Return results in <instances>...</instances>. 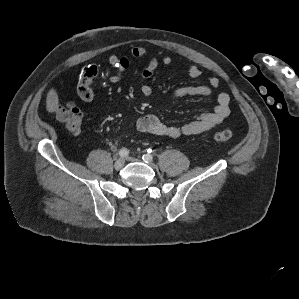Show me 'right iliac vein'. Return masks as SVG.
<instances>
[{
  "instance_id": "obj_1",
  "label": "right iliac vein",
  "mask_w": 299,
  "mask_h": 299,
  "mask_svg": "<svg viewBox=\"0 0 299 299\" xmlns=\"http://www.w3.org/2000/svg\"><path fill=\"white\" fill-rule=\"evenodd\" d=\"M124 163L125 161L123 159H118L114 164L115 169H121L124 166Z\"/></svg>"
}]
</instances>
